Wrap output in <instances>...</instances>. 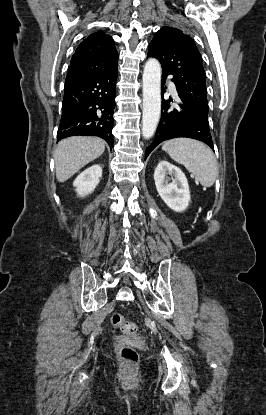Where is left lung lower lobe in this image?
<instances>
[{
    "label": "left lung lower lobe",
    "mask_w": 266,
    "mask_h": 415,
    "mask_svg": "<svg viewBox=\"0 0 266 415\" xmlns=\"http://www.w3.org/2000/svg\"><path fill=\"white\" fill-rule=\"evenodd\" d=\"M166 77L167 75L162 73V94L165 90L163 85ZM178 95L181 101L178 107L174 109L170 108L166 100H162L161 121L153 142L146 148L145 159L158 144L177 137H187L202 141L214 151L208 116L196 109L179 92Z\"/></svg>",
    "instance_id": "0a47b994"
}]
</instances>
